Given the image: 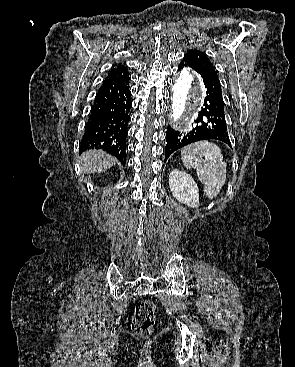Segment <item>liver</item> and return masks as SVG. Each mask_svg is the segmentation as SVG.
<instances>
[{
	"mask_svg": "<svg viewBox=\"0 0 295 367\" xmlns=\"http://www.w3.org/2000/svg\"><path fill=\"white\" fill-rule=\"evenodd\" d=\"M116 159L102 150H89L80 157L83 173H100L115 165Z\"/></svg>",
	"mask_w": 295,
	"mask_h": 367,
	"instance_id": "1",
	"label": "liver"
}]
</instances>
